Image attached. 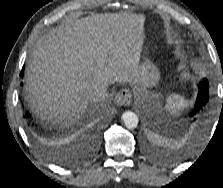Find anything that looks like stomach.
I'll use <instances>...</instances> for the list:
<instances>
[{"mask_svg":"<svg viewBox=\"0 0 223 188\" xmlns=\"http://www.w3.org/2000/svg\"><path fill=\"white\" fill-rule=\"evenodd\" d=\"M139 69L140 88L138 89V93H141L142 91H145L148 88L154 87L159 80L160 74L158 68L147 57H144L142 62H140Z\"/></svg>","mask_w":223,"mask_h":188,"instance_id":"obj_1","label":"stomach"}]
</instances>
